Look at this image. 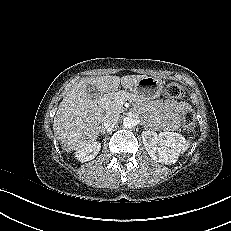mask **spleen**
<instances>
[{
    "label": "spleen",
    "instance_id": "1",
    "mask_svg": "<svg viewBox=\"0 0 231 231\" xmlns=\"http://www.w3.org/2000/svg\"><path fill=\"white\" fill-rule=\"evenodd\" d=\"M189 147H190V143L189 141H187V143H185L184 147L182 148V152L186 151Z\"/></svg>",
    "mask_w": 231,
    "mask_h": 231
}]
</instances>
